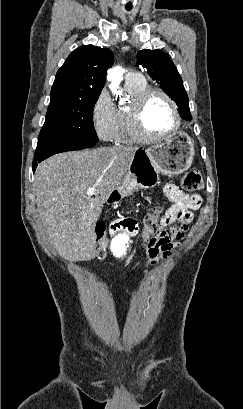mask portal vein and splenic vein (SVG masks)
<instances>
[{"instance_id": "18ae733b", "label": "portal vein and splenic vein", "mask_w": 243, "mask_h": 409, "mask_svg": "<svg viewBox=\"0 0 243 409\" xmlns=\"http://www.w3.org/2000/svg\"><path fill=\"white\" fill-rule=\"evenodd\" d=\"M87 196L91 197L95 194V187H91L86 192Z\"/></svg>"}]
</instances>
